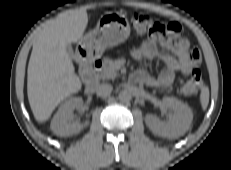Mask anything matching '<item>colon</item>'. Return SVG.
<instances>
[{
  "instance_id": "1",
  "label": "colon",
  "mask_w": 231,
  "mask_h": 170,
  "mask_svg": "<svg viewBox=\"0 0 231 170\" xmlns=\"http://www.w3.org/2000/svg\"><path fill=\"white\" fill-rule=\"evenodd\" d=\"M132 25L135 31L150 38L160 39L166 34L164 24L154 21L145 14H135L132 18ZM204 82L199 70H192L186 82L182 85L180 91L185 95L197 94L203 87Z\"/></svg>"
}]
</instances>
